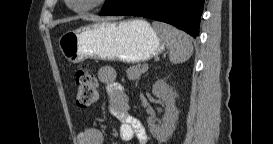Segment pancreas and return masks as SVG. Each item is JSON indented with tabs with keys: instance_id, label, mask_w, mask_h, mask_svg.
Wrapping results in <instances>:
<instances>
[{
	"instance_id": "cf45deb5",
	"label": "pancreas",
	"mask_w": 273,
	"mask_h": 144,
	"mask_svg": "<svg viewBox=\"0 0 273 144\" xmlns=\"http://www.w3.org/2000/svg\"><path fill=\"white\" fill-rule=\"evenodd\" d=\"M146 71V68L141 65L130 66L127 70V77L129 80H138L139 77Z\"/></svg>"
}]
</instances>
